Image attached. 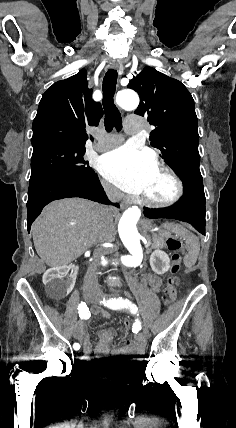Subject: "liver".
<instances>
[{"label": "liver", "mask_w": 236, "mask_h": 428, "mask_svg": "<svg viewBox=\"0 0 236 428\" xmlns=\"http://www.w3.org/2000/svg\"><path fill=\"white\" fill-rule=\"evenodd\" d=\"M102 206L65 198L45 206L32 228L35 250L50 268L67 266L93 244L115 240L113 218H105Z\"/></svg>", "instance_id": "obj_1"}]
</instances>
